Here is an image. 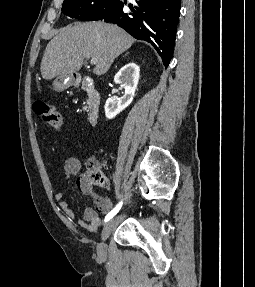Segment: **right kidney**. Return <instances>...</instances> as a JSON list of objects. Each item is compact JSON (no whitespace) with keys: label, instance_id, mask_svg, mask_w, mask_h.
Listing matches in <instances>:
<instances>
[{"label":"right kidney","instance_id":"right-kidney-1","mask_svg":"<svg viewBox=\"0 0 255 287\" xmlns=\"http://www.w3.org/2000/svg\"><path fill=\"white\" fill-rule=\"evenodd\" d=\"M140 68L137 64H126L114 78L115 84H121L122 88L125 90L124 96L119 98V100H114V98H108L105 104V114L106 118H115L117 114H120L122 110H125L129 104H131L134 96L135 90L137 88L139 80Z\"/></svg>","mask_w":255,"mask_h":287}]
</instances>
